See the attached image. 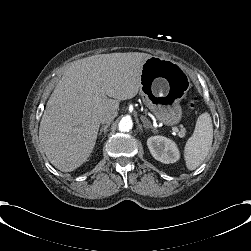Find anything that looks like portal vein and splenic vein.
<instances>
[{"label": "portal vein and splenic vein", "mask_w": 251, "mask_h": 251, "mask_svg": "<svg viewBox=\"0 0 251 251\" xmlns=\"http://www.w3.org/2000/svg\"><path fill=\"white\" fill-rule=\"evenodd\" d=\"M104 98H105V96H104L103 94H100V95H97V96H96L97 101H103ZM171 129H172L173 131H177V130H178V126H177V125H172V126H171ZM181 137H182V136H181Z\"/></svg>", "instance_id": "obj_1"}]
</instances>
